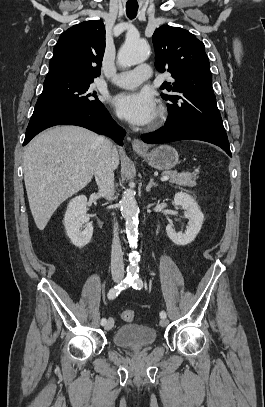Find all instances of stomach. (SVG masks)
I'll return each mask as SVG.
<instances>
[{"instance_id": "stomach-1", "label": "stomach", "mask_w": 265, "mask_h": 407, "mask_svg": "<svg viewBox=\"0 0 265 407\" xmlns=\"http://www.w3.org/2000/svg\"><path fill=\"white\" fill-rule=\"evenodd\" d=\"M153 168L167 171L175 167L179 162L178 152L169 145L156 147L149 153L138 152Z\"/></svg>"}]
</instances>
